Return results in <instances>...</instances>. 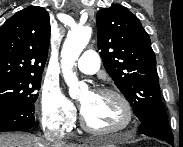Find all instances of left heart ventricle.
<instances>
[{
	"mask_svg": "<svg viewBox=\"0 0 183 147\" xmlns=\"http://www.w3.org/2000/svg\"><path fill=\"white\" fill-rule=\"evenodd\" d=\"M80 100L82 112L92 127L103 130L124 125L126 113L117 98L86 92Z\"/></svg>",
	"mask_w": 183,
	"mask_h": 147,
	"instance_id": "b2bd125f",
	"label": "left heart ventricle"
}]
</instances>
